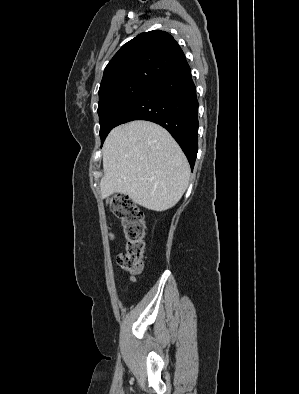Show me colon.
Masks as SVG:
<instances>
[{
  "label": "colon",
  "mask_w": 299,
  "mask_h": 394,
  "mask_svg": "<svg viewBox=\"0 0 299 394\" xmlns=\"http://www.w3.org/2000/svg\"><path fill=\"white\" fill-rule=\"evenodd\" d=\"M107 208L121 221L126 239L125 252L117 256V263L127 274L137 275L142 269L145 250L146 226L143 212L133 199L125 195H115L108 199Z\"/></svg>",
  "instance_id": "1"
}]
</instances>
